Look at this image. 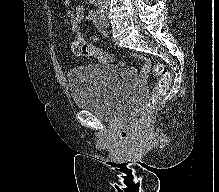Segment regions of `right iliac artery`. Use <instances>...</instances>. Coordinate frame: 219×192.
I'll list each match as a JSON object with an SVG mask.
<instances>
[{"instance_id":"obj_1","label":"right iliac artery","mask_w":219,"mask_h":192,"mask_svg":"<svg viewBox=\"0 0 219 192\" xmlns=\"http://www.w3.org/2000/svg\"><path fill=\"white\" fill-rule=\"evenodd\" d=\"M103 16V9L102 8H99L96 10V17L97 19H101Z\"/></svg>"}]
</instances>
